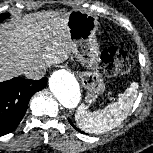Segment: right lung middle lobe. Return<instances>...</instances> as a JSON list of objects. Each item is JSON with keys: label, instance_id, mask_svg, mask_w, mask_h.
<instances>
[{"label": "right lung middle lobe", "instance_id": "right-lung-middle-lobe-1", "mask_svg": "<svg viewBox=\"0 0 153 153\" xmlns=\"http://www.w3.org/2000/svg\"><path fill=\"white\" fill-rule=\"evenodd\" d=\"M8 16H9L8 13L0 14V22H2L3 20H5Z\"/></svg>", "mask_w": 153, "mask_h": 153}]
</instances>
